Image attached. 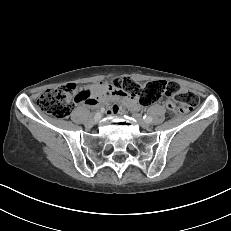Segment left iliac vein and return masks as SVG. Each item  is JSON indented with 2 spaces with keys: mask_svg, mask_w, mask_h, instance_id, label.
<instances>
[{
  "mask_svg": "<svg viewBox=\"0 0 231 231\" xmlns=\"http://www.w3.org/2000/svg\"><path fill=\"white\" fill-rule=\"evenodd\" d=\"M133 116L142 128H145V129L149 128V123L145 121L144 119H142V117L139 114L135 113Z\"/></svg>",
  "mask_w": 231,
  "mask_h": 231,
  "instance_id": "4c4485c4",
  "label": "left iliac vein"
}]
</instances>
